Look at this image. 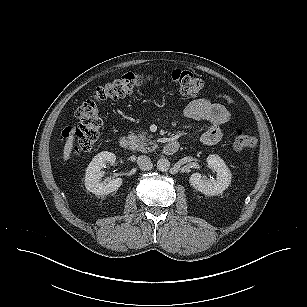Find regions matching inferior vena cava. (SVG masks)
<instances>
[{
    "instance_id": "inferior-vena-cava-1",
    "label": "inferior vena cava",
    "mask_w": 307,
    "mask_h": 307,
    "mask_svg": "<svg viewBox=\"0 0 307 307\" xmlns=\"http://www.w3.org/2000/svg\"><path fill=\"white\" fill-rule=\"evenodd\" d=\"M137 164L141 170H150L153 167L151 159L146 155H141L137 158Z\"/></svg>"
}]
</instances>
